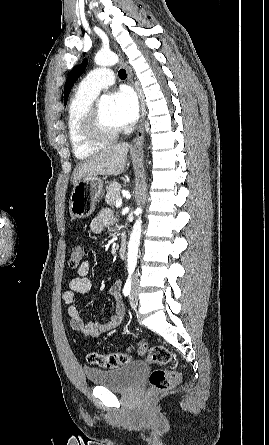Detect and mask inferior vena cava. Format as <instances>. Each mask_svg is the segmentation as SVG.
Wrapping results in <instances>:
<instances>
[{
  "label": "inferior vena cava",
  "instance_id": "obj_1",
  "mask_svg": "<svg viewBox=\"0 0 269 445\" xmlns=\"http://www.w3.org/2000/svg\"><path fill=\"white\" fill-rule=\"evenodd\" d=\"M137 277H138V274H137V273H134V275H133V280H136Z\"/></svg>",
  "mask_w": 269,
  "mask_h": 445
}]
</instances>
